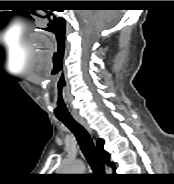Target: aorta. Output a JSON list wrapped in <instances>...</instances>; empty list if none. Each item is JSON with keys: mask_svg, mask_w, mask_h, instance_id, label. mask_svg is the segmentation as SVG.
<instances>
[{"mask_svg": "<svg viewBox=\"0 0 174 184\" xmlns=\"http://www.w3.org/2000/svg\"><path fill=\"white\" fill-rule=\"evenodd\" d=\"M84 171V167L81 163H76L75 165L71 166L67 172L69 174H80Z\"/></svg>", "mask_w": 174, "mask_h": 184, "instance_id": "762f6f07", "label": "aorta"}]
</instances>
